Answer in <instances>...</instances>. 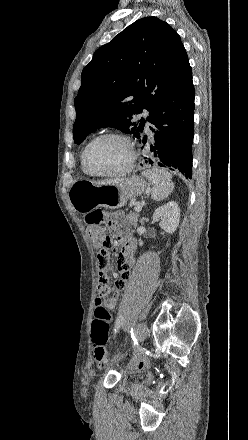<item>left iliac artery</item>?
<instances>
[{"mask_svg":"<svg viewBox=\"0 0 248 440\" xmlns=\"http://www.w3.org/2000/svg\"><path fill=\"white\" fill-rule=\"evenodd\" d=\"M115 332H116V329H115ZM131 337H132V339H133L134 345L137 344L136 339H135V337H134L133 329H131Z\"/></svg>","mask_w":248,"mask_h":440,"instance_id":"obj_1","label":"left iliac artery"}]
</instances>
